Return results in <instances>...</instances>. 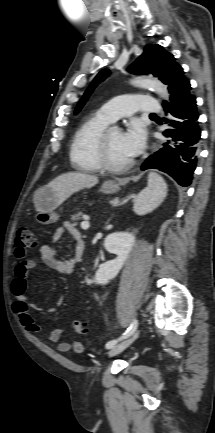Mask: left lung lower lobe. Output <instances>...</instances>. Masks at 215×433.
<instances>
[{"mask_svg": "<svg viewBox=\"0 0 215 433\" xmlns=\"http://www.w3.org/2000/svg\"><path fill=\"white\" fill-rule=\"evenodd\" d=\"M189 81L183 77L170 90V103L163 102L165 111L173 115L167 137L160 149L151 155L141 169H158L169 174L183 187L191 183L196 168L201 131L198 123L196 98L190 92Z\"/></svg>", "mask_w": 215, "mask_h": 433, "instance_id": "1", "label": "left lung lower lobe"}]
</instances>
